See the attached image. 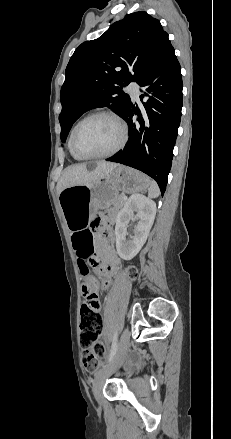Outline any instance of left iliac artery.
<instances>
[{
    "label": "left iliac artery",
    "mask_w": 231,
    "mask_h": 439,
    "mask_svg": "<svg viewBox=\"0 0 231 439\" xmlns=\"http://www.w3.org/2000/svg\"><path fill=\"white\" fill-rule=\"evenodd\" d=\"M117 333H115L114 338H113V343H112V347H111V351H110V356L108 361L110 362L113 357L115 356L116 352H117Z\"/></svg>",
    "instance_id": "44dca946"
}]
</instances>
